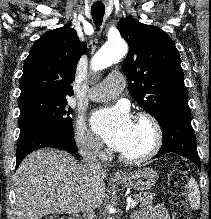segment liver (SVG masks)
Listing matches in <instances>:
<instances>
[{
	"label": "liver",
	"instance_id": "liver-1",
	"mask_svg": "<svg viewBox=\"0 0 211 219\" xmlns=\"http://www.w3.org/2000/svg\"><path fill=\"white\" fill-rule=\"evenodd\" d=\"M107 173L89 171L66 152L41 149L16 170L12 219H40L49 214H75L98 208L105 198Z\"/></svg>",
	"mask_w": 211,
	"mask_h": 219
}]
</instances>
